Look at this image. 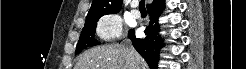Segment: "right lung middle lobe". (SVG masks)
I'll return each mask as SVG.
<instances>
[{
    "mask_svg": "<svg viewBox=\"0 0 246 69\" xmlns=\"http://www.w3.org/2000/svg\"><path fill=\"white\" fill-rule=\"evenodd\" d=\"M96 20L86 21L84 28L81 32L75 54L80 53L83 49H86L87 47L97 45L98 42L93 38L96 30L97 25Z\"/></svg>",
    "mask_w": 246,
    "mask_h": 69,
    "instance_id": "1",
    "label": "right lung middle lobe"
}]
</instances>
